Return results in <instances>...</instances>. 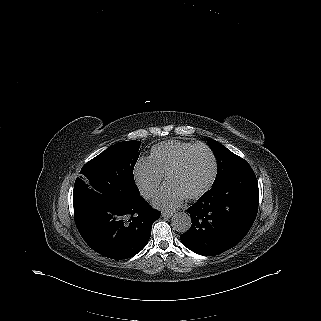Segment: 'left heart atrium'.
<instances>
[{
	"mask_svg": "<svg viewBox=\"0 0 321 321\" xmlns=\"http://www.w3.org/2000/svg\"><path fill=\"white\" fill-rule=\"evenodd\" d=\"M171 187V186H169ZM163 189L154 199L153 204L155 207L162 210H173L178 208L183 200L184 193L176 188L171 187Z\"/></svg>",
	"mask_w": 321,
	"mask_h": 321,
	"instance_id": "39dd6f15",
	"label": "left heart atrium"
}]
</instances>
